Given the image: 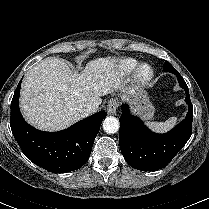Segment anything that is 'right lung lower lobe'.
Here are the masks:
<instances>
[{"label":"right lung lower lobe","instance_id":"1","mask_svg":"<svg viewBox=\"0 0 209 209\" xmlns=\"http://www.w3.org/2000/svg\"><path fill=\"white\" fill-rule=\"evenodd\" d=\"M21 81L11 101L10 126L22 152L33 163L50 172L79 169L89 159L106 112L100 111L63 131H39L27 124L20 113L18 98Z\"/></svg>","mask_w":209,"mask_h":209}]
</instances>
